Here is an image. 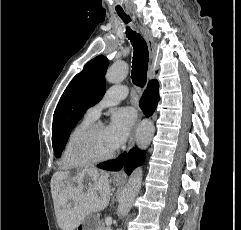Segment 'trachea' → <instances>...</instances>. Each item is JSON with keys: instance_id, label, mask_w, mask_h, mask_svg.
Returning <instances> with one entry per match:
<instances>
[{"instance_id": "1", "label": "trachea", "mask_w": 241, "mask_h": 230, "mask_svg": "<svg viewBox=\"0 0 241 230\" xmlns=\"http://www.w3.org/2000/svg\"><path fill=\"white\" fill-rule=\"evenodd\" d=\"M118 15L125 23L130 22L129 16L125 13H118ZM126 36L134 47L131 78L136 86L142 88L147 81L148 47L141 35L129 27L126 29Z\"/></svg>"}]
</instances>
